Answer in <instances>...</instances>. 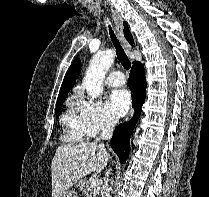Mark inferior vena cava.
I'll list each match as a JSON object with an SVG mask.
<instances>
[{
  "label": "inferior vena cava",
  "instance_id": "inferior-vena-cava-1",
  "mask_svg": "<svg viewBox=\"0 0 209 197\" xmlns=\"http://www.w3.org/2000/svg\"><path fill=\"white\" fill-rule=\"evenodd\" d=\"M117 121L118 120L114 116H112L111 114H107L105 116V121L101 129L100 136L96 140L101 141V140L110 139L112 137L113 130L117 124ZM110 171L111 169H109L105 174L104 186L101 193L102 197H110V191L108 187Z\"/></svg>",
  "mask_w": 209,
  "mask_h": 197
}]
</instances>
